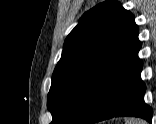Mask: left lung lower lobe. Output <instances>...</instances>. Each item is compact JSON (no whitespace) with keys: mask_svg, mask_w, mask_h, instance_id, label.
Instances as JSON below:
<instances>
[{"mask_svg":"<svg viewBox=\"0 0 156 124\" xmlns=\"http://www.w3.org/2000/svg\"><path fill=\"white\" fill-rule=\"evenodd\" d=\"M137 47L105 80L78 124H91L119 116L141 117L151 123L152 109L144 103L146 87L140 78L142 61Z\"/></svg>","mask_w":156,"mask_h":124,"instance_id":"1","label":"left lung lower lobe"}]
</instances>
